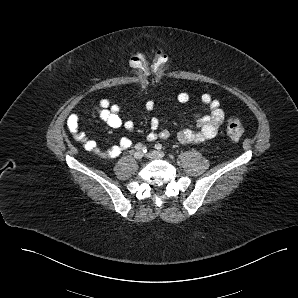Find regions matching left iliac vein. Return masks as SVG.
Instances as JSON below:
<instances>
[{"instance_id":"left-iliac-vein-1","label":"left iliac vein","mask_w":298,"mask_h":298,"mask_svg":"<svg viewBox=\"0 0 298 298\" xmlns=\"http://www.w3.org/2000/svg\"><path fill=\"white\" fill-rule=\"evenodd\" d=\"M147 156L154 159H162L165 156V153L159 150H153L148 153Z\"/></svg>"}]
</instances>
